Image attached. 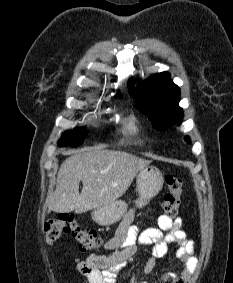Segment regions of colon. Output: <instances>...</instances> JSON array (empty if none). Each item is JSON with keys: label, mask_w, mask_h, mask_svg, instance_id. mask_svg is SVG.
I'll list each match as a JSON object with an SVG mask.
<instances>
[{"label": "colon", "mask_w": 233, "mask_h": 283, "mask_svg": "<svg viewBox=\"0 0 233 283\" xmlns=\"http://www.w3.org/2000/svg\"><path fill=\"white\" fill-rule=\"evenodd\" d=\"M165 185L167 190L162 203L163 215L173 217L181 203L182 182L176 176L166 175ZM44 232L49 243L57 241L63 235H71L83 250H96L102 244V239L95 230L80 226L74 217L68 214L46 221Z\"/></svg>", "instance_id": "obj_1"}]
</instances>
